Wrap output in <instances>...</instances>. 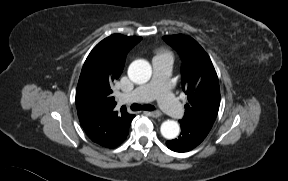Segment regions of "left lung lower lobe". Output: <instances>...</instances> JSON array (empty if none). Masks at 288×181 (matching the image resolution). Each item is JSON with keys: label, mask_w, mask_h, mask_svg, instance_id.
<instances>
[{"label": "left lung lower lobe", "mask_w": 288, "mask_h": 181, "mask_svg": "<svg viewBox=\"0 0 288 181\" xmlns=\"http://www.w3.org/2000/svg\"><path fill=\"white\" fill-rule=\"evenodd\" d=\"M181 134L177 139L167 141L169 149L175 152H188L198 146L210 131V128L179 121Z\"/></svg>", "instance_id": "1"}]
</instances>
